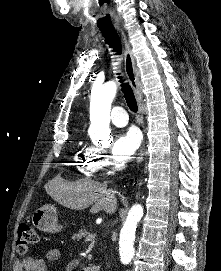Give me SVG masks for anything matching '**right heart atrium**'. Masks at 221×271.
<instances>
[{
  "instance_id": "obj_1",
  "label": "right heart atrium",
  "mask_w": 221,
  "mask_h": 271,
  "mask_svg": "<svg viewBox=\"0 0 221 271\" xmlns=\"http://www.w3.org/2000/svg\"><path fill=\"white\" fill-rule=\"evenodd\" d=\"M74 157L80 159L82 164H86L81 165L87 169L85 171L80 170V173H103L104 167L108 165L106 159H110L111 156L110 154H104V151H77Z\"/></svg>"
}]
</instances>
